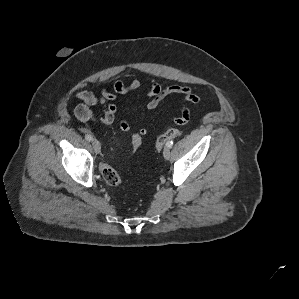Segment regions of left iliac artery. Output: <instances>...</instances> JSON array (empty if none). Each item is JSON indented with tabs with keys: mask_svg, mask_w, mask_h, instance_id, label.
Segmentation results:
<instances>
[{
	"mask_svg": "<svg viewBox=\"0 0 299 299\" xmlns=\"http://www.w3.org/2000/svg\"><path fill=\"white\" fill-rule=\"evenodd\" d=\"M173 141L171 140V141H168L167 143H166V146L167 147H169V148H171L172 146H173Z\"/></svg>",
	"mask_w": 299,
	"mask_h": 299,
	"instance_id": "44dca946",
	"label": "left iliac artery"
}]
</instances>
